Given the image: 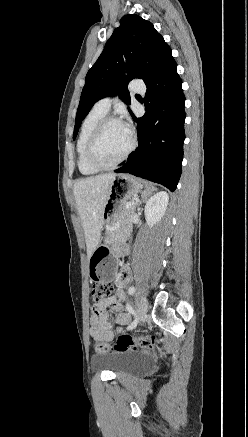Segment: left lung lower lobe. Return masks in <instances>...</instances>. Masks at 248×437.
I'll return each instance as SVG.
<instances>
[{"mask_svg":"<svg viewBox=\"0 0 248 437\" xmlns=\"http://www.w3.org/2000/svg\"><path fill=\"white\" fill-rule=\"evenodd\" d=\"M176 69L172 60L146 84V113L141 118L132 115L137 123L138 149L115 171L162 184L171 191L176 189L181 175L185 139V97Z\"/></svg>","mask_w":248,"mask_h":437,"instance_id":"left-lung-lower-lobe-1","label":"left lung lower lobe"}]
</instances>
